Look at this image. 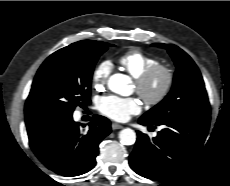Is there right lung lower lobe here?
<instances>
[{
    "label": "right lung lower lobe",
    "mask_w": 230,
    "mask_h": 186,
    "mask_svg": "<svg viewBox=\"0 0 230 186\" xmlns=\"http://www.w3.org/2000/svg\"><path fill=\"white\" fill-rule=\"evenodd\" d=\"M30 146L55 173L72 177L96 165L99 144L111 132L110 121L94 115L84 132L72 116L40 115L26 119Z\"/></svg>",
    "instance_id": "right-lung-lower-lobe-1"
}]
</instances>
